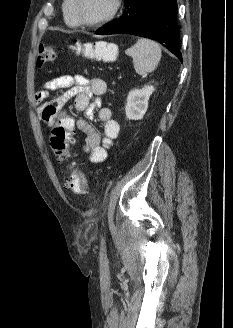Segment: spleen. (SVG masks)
Segmentation results:
<instances>
[{
  "label": "spleen",
  "instance_id": "obj_1",
  "mask_svg": "<svg viewBox=\"0 0 233 328\" xmlns=\"http://www.w3.org/2000/svg\"><path fill=\"white\" fill-rule=\"evenodd\" d=\"M115 46L109 44L108 49ZM125 53L132 57L134 69L139 75H146L156 69L161 60V48L159 44L151 39L140 38L137 42L126 49Z\"/></svg>",
  "mask_w": 233,
  "mask_h": 328
}]
</instances>
